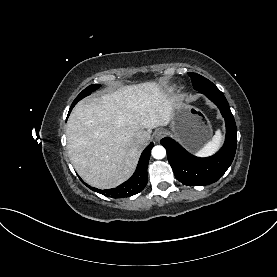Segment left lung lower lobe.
Segmentation results:
<instances>
[{
  "mask_svg": "<svg viewBox=\"0 0 277 277\" xmlns=\"http://www.w3.org/2000/svg\"><path fill=\"white\" fill-rule=\"evenodd\" d=\"M199 92L218 106L225 119L226 138L223 147L211 157L198 158L188 153L171 138L166 137L160 141L167 151L168 161L175 177L189 186H204L219 180L231 165L237 146L235 120L223 93L217 87Z\"/></svg>",
  "mask_w": 277,
  "mask_h": 277,
  "instance_id": "left-lung-lower-lobe-1",
  "label": "left lung lower lobe"
}]
</instances>
